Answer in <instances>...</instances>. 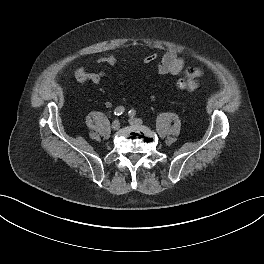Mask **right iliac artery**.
<instances>
[{
    "mask_svg": "<svg viewBox=\"0 0 264 264\" xmlns=\"http://www.w3.org/2000/svg\"><path fill=\"white\" fill-rule=\"evenodd\" d=\"M125 112V108L123 106H118L114 110V114L119 116L122 115Z\"/></svg>",
    "mask_w": 264,
    "mask_h": 264,
    "instance_id": "right-iliac-artery-1",
    "label": "right iliac artery"
}]
</instances>
